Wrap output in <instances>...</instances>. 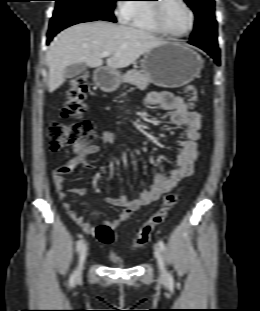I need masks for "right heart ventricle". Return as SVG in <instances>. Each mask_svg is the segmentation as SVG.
I'll use <instances>...</instances> for the list:
<instances>
[{
	"label": "right heart ventricle",
	"instance_id": "e07e8e85",
	"mask_svg": "<svg viewBox=\"0 0 260 311\" xmlns=\"http://www.w3.org/2000/svg\"><path fill=\"white\" fill-rule=\"evenodd\" d=\"M135 2H144L149 0H134ZM151 4L131 3L127 4V10L124 14V22L136 29L147 31L154 34H162L155 25L151 15Z\"/></svg>",
	"mask_w": 260,
	"mask_h": 311
}]
</instances>
